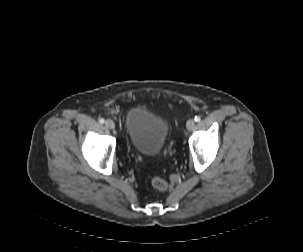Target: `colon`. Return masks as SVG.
I'll use <instances>...</instances> for the list:
<instances>
[{
    "label": "colon",
    "mask_w": 303,
    "mask_h": 252,
    "mask_svg": "<svg viewBox=\"0 0 303 252\" xmlns=\"http://www.w3.org/2000/svg\"><path fill=\"white\" fill-rule=\"evenodd\" d=\"M152 185L158 191L164 192L168 188V182L162 178L154 177L152 179Z\"/></svg>",
    "instance_id": "obj_1"
}]
</instances>
